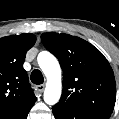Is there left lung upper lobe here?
Wrapping results in <instances>:
<instances>
[{
  "label": "left lung upper lobe",
  "instance_id": "left-lung-upper-lobe-1",
  "mask_svg": "<svg viewBox=\"0 0 119 119\" xmlns=\"http://www.w3.org/2000/svg\"><path fill=\"white\" fill-rule=\"evenodd\" d=\"M41 41L59 59L63 70V91L56 106L111 115L116 83L103 54L89 42L68 34L43 33Z\"/></svg>",
  "mask_w": 119,
  "mask_h": 119
}]
</instances>
